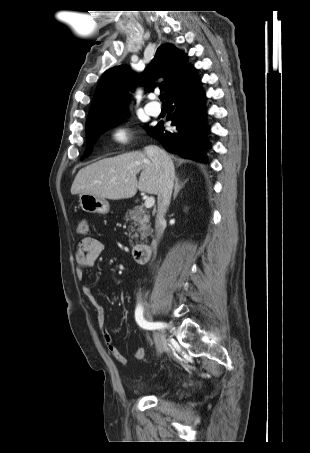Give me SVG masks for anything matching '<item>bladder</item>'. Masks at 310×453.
I'll use <instances>...</instances> for the list:
<instances>
[{
    "label": "bladder",
    "mask_w": 310,
    "mask_h": 453,
    "mask_svg": "<svg viewBox=\"0 0 310 453\" xmlns=\"http://www.w3.org/2000/svg\"><path fill=\"white\" fill-rule=\"evenodd\" d=\"M136 389L141 391H159L161 389V385L159 383H153L150 385L136 386Z\"/></svg>",
    "instance_id": "31cf9c89"
}]
</instances>
